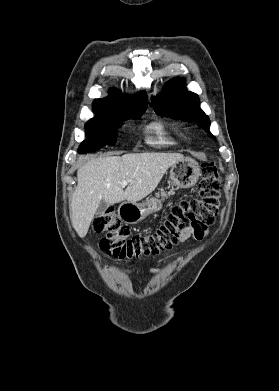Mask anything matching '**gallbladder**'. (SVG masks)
Returning a JSON list of instances; mask_svg holds the SVG:
<instances>
[{
    "label": "gallbladder",
    "mask_w": 279,
    "mask_h": 391,
    "mask_svg": "<svg viewBox=\"0 0 279 391\" xmlns=\"http://www.w3.org/2000/svg\"><path fill=\"white\" fill-rule=\"evenodd\" d=\"M110 206V204L104 200H102L96 210V215H102L107 208Z\"/></svg>",
    "instance_id": "bac80fb5"
}]
</instances>
